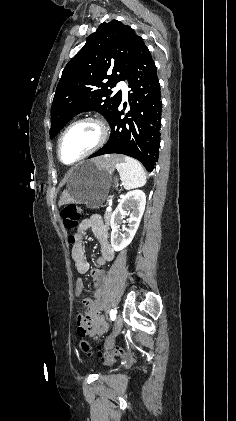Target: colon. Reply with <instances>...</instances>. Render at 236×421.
<instances>
[{"label":"colon","instance_id":"1","mask_svg":"<svg viewBox=\"0 0 236 421\" xmlns=\"http://www.w3.org/2000/svg\"><path fill=\"white\" fill-rule=\"evenodd\" d=\"M61 217L62 220L64 222V225L66 228L68 229H73L75 228L81 217H82V211L81 208L76 205V204H67L63 207L62 211H61ZM70 242L75 244V246L79 243V237L78 235H72L70 236ZM76 256L79 258L80 257V250H77L75 252ZM82 266V265H81ZM78 332L82 333L83 332V327H79L78 328ZM79 348L82 352L92 356L94 355V350L92 348V346L90 345L89 342L85 341V340H81L79 342ZM98 355L102 358L105 359H109L112 357H128L129 356V351L124 349V348H115L113 350L110 351H100L98 353Z\"/></svg>","mask_w":236,"mask_h":421}]
</instances>
